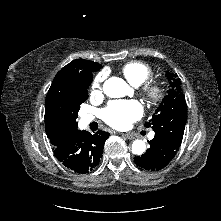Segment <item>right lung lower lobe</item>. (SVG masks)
<instances>
[{
    "label": "right lung lower lobe",
    "instance_id": "obj_1",
    "mask_svg": "<svg viewBox=\"0 0 221 221\" xmlns=\"http://www.w3.org/2000/svg\"><path fill=\"white\" fill-rule=\"evenodd\" d=\"M108 137V132L100 130L95 134L75 130L67 142L54 147V155L65 167L85 174L98 165Z\"/></svg>",
    "mask_w": 221,
    "mask_h": 221
}]
</instances>
